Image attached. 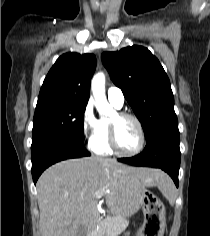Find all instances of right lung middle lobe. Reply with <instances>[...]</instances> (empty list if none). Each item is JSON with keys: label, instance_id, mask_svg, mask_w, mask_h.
Instances as JSON below:
<instances>
[{"label": "right lung middle lobe", "instance_id": "right-lung-middle-lobe-1", "mask_svg": "<svg viewBox=\"0 0 210 236\" xmlns=\"http://www.w3.org/2000/svg\"><path fill=\"white\" fill-rule=\"evenodd\" d=\"M86 105L76 100H48L37 103L32 140L58 136L84 144L83 116Z\"/></svg>", "mask_w": 210, "mask_h": 236}]
</instances>
